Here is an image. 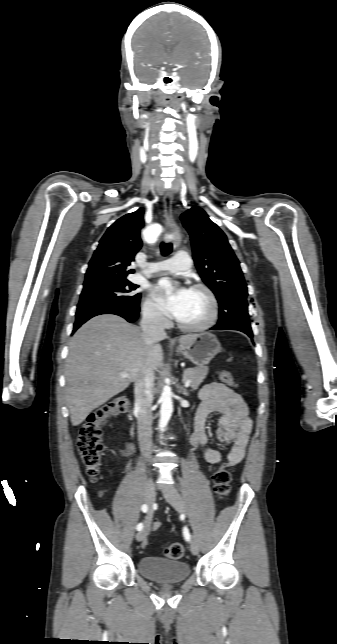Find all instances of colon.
Here are the masks:
<instances>
[{"mask_svg":"<svg viewBox=\"0 0 337 644\" xmlns=\"http://www.w3.org/2000/svg\"><path fill=\"white\" fill-rule=\"evenodd\" d=\"M218 376L225 384L236 385L232 374L228 370H219ZM128 409V396L125 394L118 395L91 412L79 428L76 447L88 475L93 480H96L99 475L104 450L102 426L110 417L124 414ZM212 478L217 495L221 499L226 498L230 492L231 483L229 464L227 462L222 463L214 472ZM165 554L169 559L178 560L184 555V547L180 543H172L166 548Z\"/></svg>","mask_w":337,"mask_h":644,"instance_id":"1","label":"colon"}]
</instances>
